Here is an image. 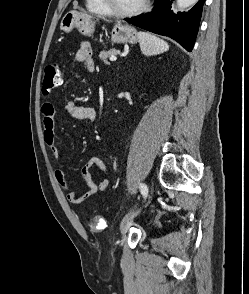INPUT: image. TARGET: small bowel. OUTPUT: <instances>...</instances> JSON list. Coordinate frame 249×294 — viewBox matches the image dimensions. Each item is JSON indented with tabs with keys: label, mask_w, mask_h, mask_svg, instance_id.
Returning <instances> with one entry per match:
<instances>
[{
	"label": "small bowel",
	"mask_w": 249,
	"mask_h": 294,
	"mask_svg": "<svg viewBox=\"0 0 249 294\" xmlns=\"http://www.w3.org/2000/svg\"><path fill=\"white\" fill-rule=\"evenodd\" d=\"M74 61L83 63L86 69L90 72L95 70V63L92 57V47L89 42H81L75 52ZM44 126V140L50 149V152L55 161L60 160V149L55 135V121L57 112L54 105L50 102H45L41 106ZM64 114L67 117L93 122L96 119V110L89 106H79L70 100L64 103ZM97 168L105 175L108 174L106 163L99 157L90 158L81 168V176L87 186V190L79 194L76 190L70 187L67 182L65 172L62 169H56L54 176L59 186L66 192V198L73 204H81L89 197L105 191L110 180L107 176L101 179L98 183L92 179L91 170Z\"/></svg>",
	"instance_id": "small-bowel-1"
}]
</instances>
